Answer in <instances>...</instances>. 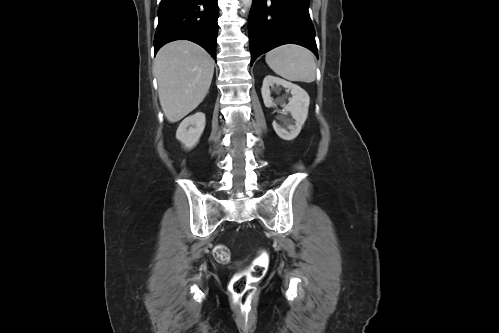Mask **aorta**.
I'll return each instance as SVG.
<instances>
[{"label":"aorta","instance_id":"762f6f07","mask_svg":"<svg viewBox=\"0 0 499 333\" xmlns=\"http://www.w3.org/2000/svg\"><path fill=\"white\" fill-rule=\"evenodd\" d=\"M252 1L253 0H241V5H242L241 13L242 14L247 13V11L250 9V7L252 5Z\"/></svg>","mask_w":499,"mask_h":333}]
</instances>
